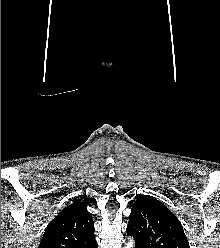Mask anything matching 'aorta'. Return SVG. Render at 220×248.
I'll list each match as a JSON object with an SVG mask.
<instances>
[{
	"instance_id": "aorta-1",
	"label": "aorta",
	"mask_w": 220,
	"mask_h": 248,
	"mask_svg": "<svg viewBox=\"0 0 220 248\" xmlns=\"http://www.w3.org/2000/svg\"><path fill=\"white\" fill-rule=\"evenodd\" d=\"M135 242L132 238H130L126 244L125 248H134Z\"/></svg>"
}]
</instances>
